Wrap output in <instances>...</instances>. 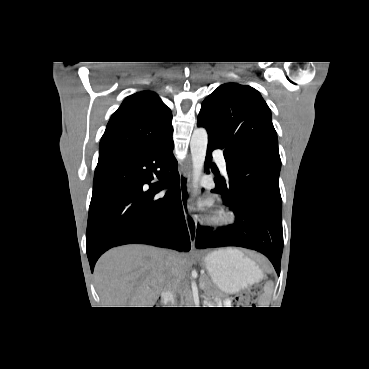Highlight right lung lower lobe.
I'll list each match as a JSON object with an SVG mask.
<instances>
[{"mask_svg": "<svg viewBox=\"0 0 369 369\" xmlns=\"http://www.w3.org/2000/svg\"><path fill=\"white\" fill-rule=\"evenodd\" d=\"M173 148L170 136L95 171L86 232L92 272L98 258L115 246L142 243L190 250ZM155 177L160 181L151 184ZM165 188L164 195L158 194Z\"/></svg>", "mask_w": 369, "mask_h": 369, "instance_id": "obj_1", "label": "right lung lower lobe"}]
</instances>
